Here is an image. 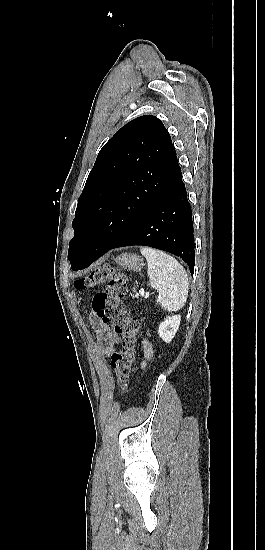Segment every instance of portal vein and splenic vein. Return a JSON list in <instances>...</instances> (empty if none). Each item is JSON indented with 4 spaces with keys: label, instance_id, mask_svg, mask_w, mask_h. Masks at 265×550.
I'll use <instances>...</instances> for the list:
<instances>
[{
    "label": "portal vein and splenic vein",
    "instance_id": "18ae733b",
    "mask_svg": "<svg viewBox=\"0 0 265 550\" xmlns=\"http://www.w3.org/2000/svg\"><path fill=\"white\" fill-rule=\"evenodd\" d=\"M141 295H144V291H141Z\"/></svg>",
    "mask_w": 265,
    "mask_h": 550
}]
</instances>
